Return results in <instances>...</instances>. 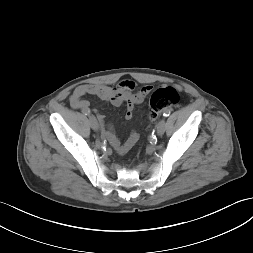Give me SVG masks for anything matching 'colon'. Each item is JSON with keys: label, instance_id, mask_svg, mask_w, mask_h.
Instances as JSON below:
<instances>
[{"label": "colon", "instance_id": "obj_1", "mask_svg": "<svg viewBox=\"0 0 253 253\" xmlns=\"http://www.w3.org/2000/svg\"><path fill=\"white\" fill-rule=\"evenodd\" d=\"M179 101V93L174 87H160L156 89L150 98L149 119L154 121L158 115Z\"/></svg>", "mask_w": 253, "mask_h": 253}]
</instances>
